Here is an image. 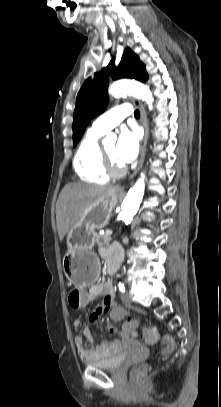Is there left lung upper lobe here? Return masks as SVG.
Segmentation results:
<instances>
[{
  "mask_svg": "<svg viewBox=\"0 0 221 407\" xmlns=\"http://www.w3.org/2000/svg\"><path fill=\"white\" fill-rule=\"evenodd\" d=\"M108 76L114 80L120 78H133L141 82L148 80L145 65L130 48L125 49L117 67H115L114 60H112L107 67L88 78L82 85L76 99L72 125L74 147L82 137L91 119L103 112L107 106Z\"/></svg>",
  "mask_w": 221,
  "mask_h": 407,
  "instance_id": "5c2ea615",
  "label": "left lung upper lobe"
}]
</instances>
